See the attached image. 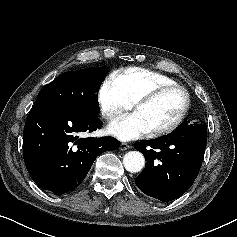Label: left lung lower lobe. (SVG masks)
<instances>
[{
  "instance_id": "left-lung-lower-lobe-1",
  "label": "left lung lower lobe",
  "mask_w": 237,
  "mask_h": 237,
  "mask_svg": "<svg viewBox=\"0 0 237 237\" xmlns=\"http://www.w3.org/2000/svg\"><path fill=\"white\" fill-rule=\"evenodd\" d=\"M206 142L207 127L186 118L172 133L136 143L147 161L135 179L137 187L163 202L180 197L200 171Z\"/></svg>"
}]
</instances>
